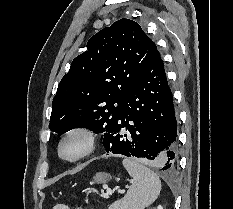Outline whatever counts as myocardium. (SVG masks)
<instances>
[{"mask_svg": "<svg viewBox=\"0 0 233 209\" xmlns=\"http://www.w3.org/2000/svg\"><path fill=\"white\" fill-rule=\"evenodd\" d=\"M73 137H78L82 140V148L75 155H65L63 152L64 145L69 139ZM96 144L97 137L95 132L91 128L82 125L73 126L67 129L61 135L57 144V154L61 160L69 163H74L89 156L95 150Z\"/></svg>", "mask_w": 233, "mask_h": 209, "instance_id": "1", "label": "myocardium"}]
</instances>
